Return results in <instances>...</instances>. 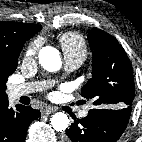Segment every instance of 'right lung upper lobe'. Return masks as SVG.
<instances>
[{"label":"right lung upper lobe","mask_w":142,"mask_h":142,"mask_svg":"<svg viewBox=\"0 0 142 142\" xmlns=\"http://www.w3.org/2000/svg\"><path fill=\"white\" fill-rule=\"evenodd\" d=\"M42 29L41 25L31 23L0 22V58L9 59L24 43ZM8 100L0 94V104Z\"/></svg>","instance_id":"1"}]
</instances>
